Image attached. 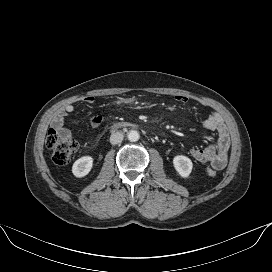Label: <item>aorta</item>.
<instances>
[{
	"label": "aorta",
	"instance_id": "obj_1",
	"mask_svg": "<svg viewBox=\"0 0 272 272\" xmlns=\"http://www.w3.org/2000/svg\"><path fill=\"white\" fill-rule=\"evenodd\" d=\"M140 138V135L137 131L135 130H132L128 133V140L131 141V142H136L138 141Z\"/></svg>",
	"mask_w": 272,
	"mask_h": 272
}]
</instances>
